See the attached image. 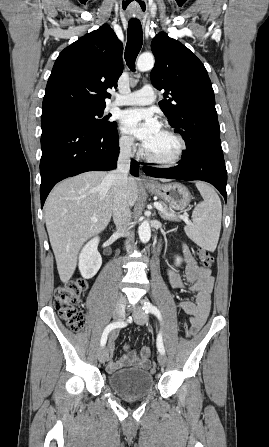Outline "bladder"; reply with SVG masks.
Masks as SVG:
<instances>
[{
    "instance_id": "31cf9c89",
    "label": "bladder",
    "mask_w": 269,
    "mask_h": 447,
    "mask_svg": "<svg viewBox=\"0 0 269 447\" xmlns=\"http://www.w3.org/2000/svg\"><path fill=\"white\" fill-rule=\"evenodd\" d=\"M108 385L122 397H145L154 388V376L145 370L127 368L108 374Z\"/></svg>"
}]
</instances>
